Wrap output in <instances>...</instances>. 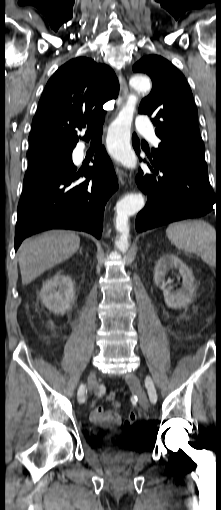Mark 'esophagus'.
Returning <instances> with one entry per match:
<instances>
[{
  "mask_svg": "<svg viewBox=\"0 0 221 510\" xmlns=\"http://www.w3.org/2000/svg\"><path fill=\"white\" fill-rule=\"evenodd\" d=\"M127 95H128L127 83L123 76H119V95L117 98L118 109L121 108L125 104ZM116 172L118 174L119 179L122 180V176H123L122 171H120L119 168L116 167Z\"/></svg>",
  "mask_w": 221,
  "mask_h": 510,
  "instance_id": "1",
  "label": "esophagus"
}]
</instances>
